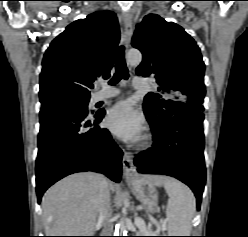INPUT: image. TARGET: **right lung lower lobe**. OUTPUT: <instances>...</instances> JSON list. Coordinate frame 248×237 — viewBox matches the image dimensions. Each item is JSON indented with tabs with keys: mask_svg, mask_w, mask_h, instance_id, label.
I'll return each instance as SVG.
<instances>
[{
	"mask_svg": "<svg viewBox=\"0 0 248 237\" xmlns=\"http://www.w3.org/2000/svg\"><path fill=\"white\" fill-rule=\"evenodd\" d=\"M69 108L41 109L36 159L38 203L56 181L76 172L94 171L120 182L122 151L98 123L104 112Z\"/></svg>",
	"mask_w": 248,
	"mask_h": 237,
	"instance_id": "1",
	"label": "right lung lower lobe"
}]
</instances>
